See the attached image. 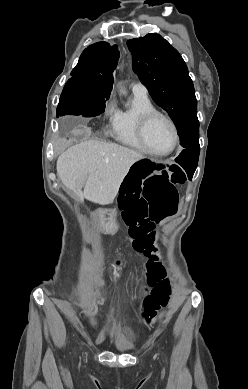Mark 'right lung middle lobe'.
I'll return each instance as SVG.
<instances>
[{
	"mask_svg": "<svg viewBox=\"0 0 248 389\" xmlns=\"http://www.w3.org/2000/svg\"><path fill=\"white\" fill-rule=\"evenodd\" d=\"M111 90L88 86L81 77H72L62 91L57 107V116L65 114L97 116L104 112L105 102Z\"/></svg>",
	"mask_w": 248,
	"mask_h": 389,
	"instance_id": "right-lung-middle-lobe-1",
	"label": "right lung middle lobe"
}]
</instances>
